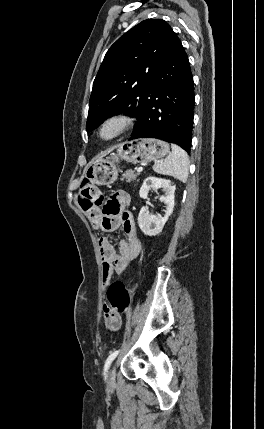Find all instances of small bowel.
Segmentation results:
<instances>
[{
  "mask_svg": "<svg viewBox=\"0 0 264 429\" xmlns=\"http://www.w3.org/2000/svg\"><path fill=\"white\" fill-rule=\"evenodd\" d=\"M130 203V196L124 190L114 192L102 207H97L87 213L90 222L100 231L112 233L121 227L126 235L119 242V251L116 252L111 237L99 239V249L102 259V281L106 287L114 273L122 274L127 265L137 257L141 249L133 215L126 210ZM104 323L111 331L120 329L121 315L113 313L104 306Z\"/></svg>",
  "mask_w": 264,
  "mask_h": 429,
  "instance_id": "1",
  "label": "small bowel"
}]
</instances>
